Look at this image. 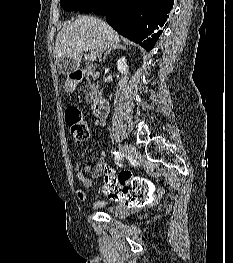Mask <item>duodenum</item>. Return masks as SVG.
I'll list each match as a JSON object with an SVG mask.
<instances>
[{
	"mask_svg": "<svg viewBox=\"0 0 233 263\" xmlns=\"http://www.w3.org/2000/svg\"><path fill=\"white\" fill-rule=\"evenodd\" d=\"M86 76H95V73L90 70L79 69L71 75V80L78 83L81 82ZM89 97L90 100H94L92 105L94 115L98 118L106 117L110 111V106L106 98H104L103 89L91 87Z\"/></svg>",
	"mask_w": 233,
	"mask_h": 263,
	"instance_id": "obj_1",
	"label": "duodenum"
}]
</instances>
